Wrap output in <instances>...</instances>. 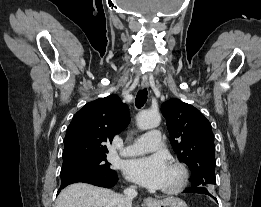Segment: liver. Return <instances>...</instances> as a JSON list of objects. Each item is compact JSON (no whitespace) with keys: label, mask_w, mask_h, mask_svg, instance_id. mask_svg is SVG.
<instances>
[{"label":"liver","mask_w":261,"mask_h":207,"mask_svg":"<svg viewBox=\"0 0 261 207\" xmlns=\"http://www.w3.org/2000/svg\"><path fill=\"white\" fill-rule=\"evenodd\" d=\"M119 196L109 189L75 183L60 192L55 207H118Z\"/></svg>","instance_id":"obj_1"}]
</instances>
